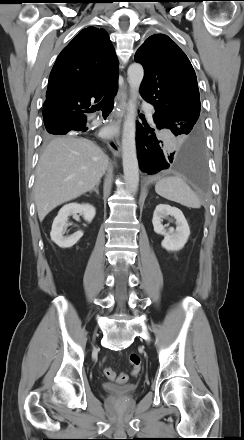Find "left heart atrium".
I'll return each mask as SVG.
<instances>
[{"label":"left heart atrium","instance_id":"obj_1","mask_svg":"<svg viewBox=\"0 0 244 440\" xmlns=\"http://www.w3.org/2000/svg\"><path fill=\"white\" fill-rule=\"evenodd\" d=\"M117 132V127L114 125H109L107 127H105V129L103 130V133L106 136H112Z\"/></svg>","mask_w":244,"mask_h":440}]
</instances>
